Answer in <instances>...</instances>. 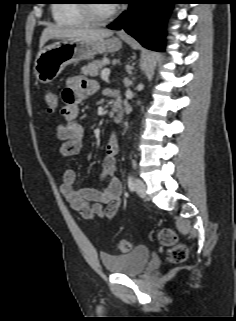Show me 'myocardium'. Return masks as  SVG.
Listing matches in <instances>:
<instances>
[{"mask_svg":"<svg viewBox=\"0 0 236 321\" xmlns=\"http://www.w3.org/2000/svg\"><path fill=\"white\" fill-rule=\"evenodd\" d=\"M81 9L82 12L84 14V16L87 19V22H89L91 25L94 26H99V25H103L109 21H111L112 19H114L117 14H118V8L116 6L113 5V8L111 9V11L103 16V17H99L95 14L94 12V8H93V4L95 0H81Z\"/></svg>","mask_w":236,"mask_h":321,"instance_id":"f54148a6","label":"myocardium"}]
</instances>
